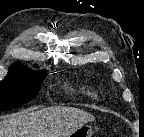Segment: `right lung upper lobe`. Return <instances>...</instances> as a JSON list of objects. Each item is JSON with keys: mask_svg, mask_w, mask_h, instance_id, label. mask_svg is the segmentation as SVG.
<instances>
[{"mask_svg": "<svg viewBox=\"0 0 144 137\" xmlns=\"http://www.w3.org/2000/svg\"><path fill=\"white\" fill-rule=\"evenodd\" d=\"M17 66H23V65H21V64H14V65L11 66V67H17Z\"/></svg>", "mask_w": 144, "mask_h": 137, "instance_id": "right-lung-upper-lobe-1", "label": "right lung upper lobe"}]
</instances>
